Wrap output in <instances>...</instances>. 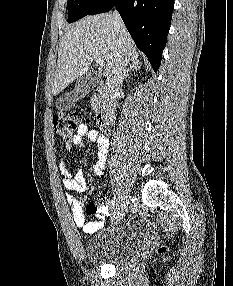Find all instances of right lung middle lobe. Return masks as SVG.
<instances>
[{
  "label": "right lung middle lobe",
  "instance_id": "right-lung-middle-lobe-1",
  "mask_svg": "<svg viewBox=\"0 0 233 286\" xmlns=\"http://www.w3.org/2000/svg\"><path fill=\"white\" fill-rule=\"evenodd\" d=\"M101 0H68V23L89 15Z\"/></svg>",
  "mask_w": 233,
  "mask_h": 286
}]
</instances>
